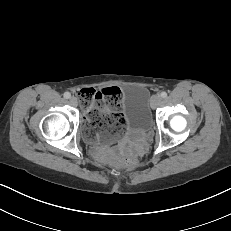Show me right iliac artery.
<instances>
[{
  "mask_svg": "<svg viewBox=\"0 0 231 231\" xmlns=\"http://www.w3.org/2000/svg\"><path fill=\"white\" fill-rule=\"evenodd\" d=\"M71 97V94L69 92L64 93V98L69 99Z\"/></svg>",
  "mask_w": 231,
  "mask_h": 231,
  "instance_id": "1",
  "label": "right iliac artery"
}]
</instances>
